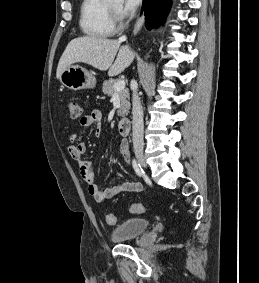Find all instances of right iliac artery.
<instances>
[{
    "mask_svg": "<svg viewBox=\"0 0 259 283\" xmlns=\"http://www.w3.org/2000/svg\"><path fill=\"white\" fill-rule=\"evenodd\" d=\"M132 165H133V168H134L135 172L137 173V175L140 176V177L143 176L144 171L141 168L140 164L135 159H133Z\"/></svg>",
    "mask_w": 259,
    "mask_h": 283,
    "instance_id": "1",
    "label": "right iliac artery"
}]
</instances>
